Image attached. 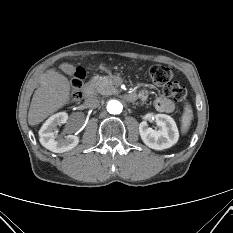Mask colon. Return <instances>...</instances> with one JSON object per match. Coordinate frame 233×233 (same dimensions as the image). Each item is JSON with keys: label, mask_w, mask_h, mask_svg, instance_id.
I'll return each instance as SVG.
<instances>
[{"label": "colon", "mask_w": 233, "mask_h": 233, "mask_svg": "<svg viewBox=\"0 0 233 233\" xmlns=\"http://www.w3.org/2000/svg\"><path fill=\"white\" fill-rule=\"evenodd\" d=\"M150 81L163 88V93L166 97L172 98L179 103H185L187 92L184 86L178 81L172 80L171 70L163 65H153L150 67L149 72ZM84 80V73L77 70L71 80V99L74 102L82 98V86Z\"/></svg>", "instance_id": "5ec220e1"}]
</instances>
